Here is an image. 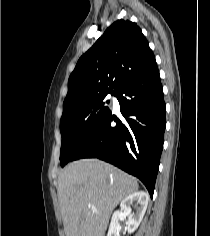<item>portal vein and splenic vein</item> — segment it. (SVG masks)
<instances>
[{
  "mask_svg": "<svg viewBox=\"0 0 210 236\" xmlns=\"http://www.w3.org/2000/svg\"><path fill=\"white\" fill-rule=\"evenodd\" d=\"M92 210H95V206L91 205Z\"/></svg>",
  "mask_w": 210,
  "mask_h": 236,
  "instance_id": "18ae733b",
  "label": "portal vein and splenic vein"
}]
</instances>
